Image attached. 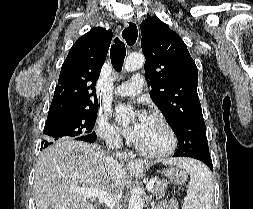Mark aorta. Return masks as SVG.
Here are the masks:
<instances>
[{
    "mask_svg": "<svg viewBox=\"0 0 253 209\" xmlns=\"http://www.w3.org/2000/svg\"><path fill=\"white\" fill-rule=\"evenodd\" d=\"M145 58L142 54H130L124 62V70L126 72H132L143 67ZM116 113L122 116L123 122L129 121V116L132 115V109L125 106L116 107ZM128 209H143V200L141 193L138 189H134L129 200Z\"/></svg>",
    "mask_w": 253,
    "mask_h": 209,
    "instance_id": "1",
    "label": "aorta"
}]
</instances>
